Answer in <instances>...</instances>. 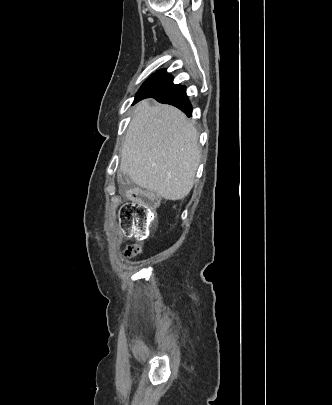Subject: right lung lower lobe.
Masks as SVG:
<instances>
[{"instance_id": "obj_1", "label": "right lung lower lobe", "mask_w": 332, "mask_h": 405, "mask_svg": "<svg viewBox=\"0 0 332 405\" xmlns=\"http://www.w3.org/2000/svg\"><path fill=\"white\" fill-rule=\"evenodd\" d=\"M185 86H176L164 92L156 93H137L135 97V102L147 98L154 97L157 101L161 103L171 104L180 110H182L187 116L192 115V106L186 95Z\"/></svg>"}]
</instances>
